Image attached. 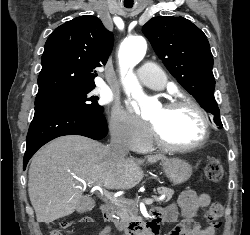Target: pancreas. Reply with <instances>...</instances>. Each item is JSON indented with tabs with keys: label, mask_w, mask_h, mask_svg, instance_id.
Wrapping results in <instances>:
<instances>
[{
	"label": "pancreas",
	"mask_w": 250,
	"mask_h": 235,
	"mask_svg": "<svg viewBox=\"0 0 250 235\" xmlns=\"http://www.w3.org/2000/svg\"><path fill=\"white\" fill-rule=\"evenodd\" d=\"M157 191L158 194L165 196V198L161 200L163 203L171 200L174 194L172 189L166 187L158 188ZM113 205L116 207V213L121 218L122 223L128 224L140 220L137 203L134 200H117L113 202Z\"/></svg>",
	"instance_id": "obj_1"
}]
</instances>
